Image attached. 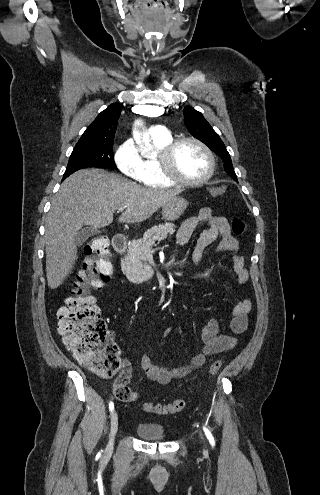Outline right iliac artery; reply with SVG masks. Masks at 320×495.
Segmentation results:
<instances>
[{"mask_svg": "<svg viewBox=\"0 0 320 495\" xmlns=\"http://www.w3.org/2000/svg\"><path fill=\"white\" fill-rule=\"evenodd\" d=\"M113 408H114V404H113V402H110V403H109V409H110V411H112V410H113Z\"/></svg>", "mask_w": 320, "mask_h": 495, "instance_id": "1", "label": "right iliac artery"}]
</instances>
